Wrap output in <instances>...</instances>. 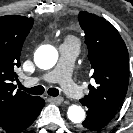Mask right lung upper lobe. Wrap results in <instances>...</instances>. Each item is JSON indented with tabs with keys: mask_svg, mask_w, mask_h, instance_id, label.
<instances>
[{
	"mask_svg": "<svg viewBox=\"0 0 133 133\" xmlns=\"http://www.w3.org/2000/svg\"><path fill=\"white\" fill-rule=\"evenodd\" d=\"M34 20L23 16L0 17V127L11 121L33 97L19 89L16 68L20 52Z\"/></svg>",
	"mask_w": 133,
	"mask_h": 133,
	"instance_id": "obj_1",
	"label": "right lung upper lobe"
}]
</instances>
